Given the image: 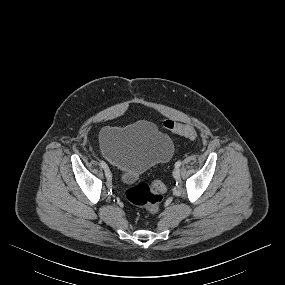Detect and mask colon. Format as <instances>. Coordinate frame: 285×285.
<instances>
[{
	"mask_svg": "<svg viewBox=\"0 0 285 285\" xmlns=\"http://www.w3.org/2000/svg\"><path fill=\"white\" fill-rule=\"evenodd\" d=\"M163 125L170 132L189 140H195L198 136L196 129L190 125L176 123L171 120H166ZM164 190L165 185L161 180H155L150 184L138 183L127 189L126 197L132 204L143 207L150 212H155L163 199Z\"/></svg>",
	"mask_w": 285,
	"mask_h": 285,
	"instance_id": "colon-1",
	"label": "colon"
}]
</instances>
